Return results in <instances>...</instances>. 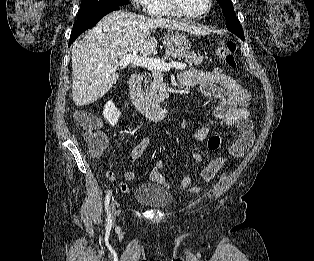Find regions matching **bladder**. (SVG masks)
<instances>
[{
    "label": "bladder",
    "instance_id": "1",
    "mask_svg": "<svg viewBox=\"0 0 314 261\" xmlns=\"http://www.w3.org/2000/svg\"><path fill=\"white\" fill-rule=\"evenodd\" d=\"M133 198L150 208H165L172 202V194L153 183L140 185L134 192Z\"/></svg>",
    "mask_w": 314,
    "mask_h": 261
}]
</instances>
